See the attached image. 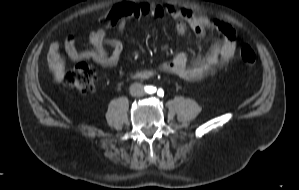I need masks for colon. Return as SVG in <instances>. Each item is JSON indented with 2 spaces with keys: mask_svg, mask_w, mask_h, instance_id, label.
Returning a JSON list of instances; mask_svg holds the SVG:
<instances>
[{
  "mask_svg": "<svg viewBox=\"0 0 299 190\" xmlns=\"http://www.w3.org/2000/svg\"><path fill=\"white\" fill-rule=\"evenodd\" d=\"M240 58L246 65L255 63L256 55L249 45H243L240 49ZM65 83L83 94H92L95 90L96 74L92 67L86 62H80L66 71Z\"/></svg>",
  "mask_w": 299,
  "mask_h": 190,
  "instance_id": "obj_1",
  "label": "colon"
}]
</instances>
